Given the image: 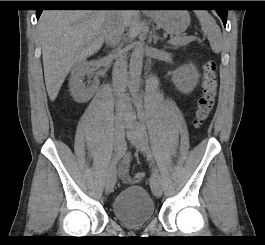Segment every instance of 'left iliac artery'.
Instances as JSON below:
<instances>
[{"label":"left iliac artery","mask_w":265,"mask_h":245,"mask_svg":"<svg viewBox=\"0 0 265 245\" xmlns=\"http://www.w3.org/2000/svg\"><path fill=\"white\" fill-rule=\"evenodd\" d=\"M138 117H139L140 121L142 122L143 128L146 129L145 116H144V113L142 112V107L141 106H139ZM150 183H151V180H150Z\"/></svg>","instance_id":"1"}]
</instances>
